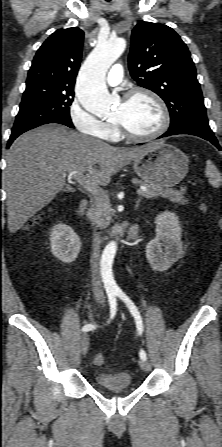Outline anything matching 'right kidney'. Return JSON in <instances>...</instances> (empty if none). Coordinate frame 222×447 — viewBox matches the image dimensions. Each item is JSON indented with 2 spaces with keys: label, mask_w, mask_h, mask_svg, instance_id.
<instances>
[{
  "label": "right kidney",
  "mask_w": 222,
  "mask_h": 447,
  "mask_svg": "<svg viewBox=\"0 0 222 447\" xmlns=\"http://www.w3.org/2000/svg\"><path fill=\"white\" fill-rule=\"evenodd\" d=\"M50 246L52 254L57 259L71 263L79 254L81 240L71 227L58 224L51 229Z\"/></svg>",
  "instance_id": "obj_1"
}]
</instances>
